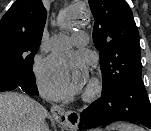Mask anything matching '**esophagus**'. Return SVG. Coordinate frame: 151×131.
<instances>
[{"instance_id":"obj_1","label":"esophagus","mask_w":151,"mask_h":131,"mask_svg":"<svg viewBox=\"0 0 151 131\" xmlns=\"http://www.w3.org/2000/svg\"><path fill=\"white\" fill-rule=\"evenodd\" d=\"M51 114L57 122L67 127L72 129L78 127L80 117L77 112L67 111L58 105H54L51 107Z\"/></svg>"}]
</instances>
